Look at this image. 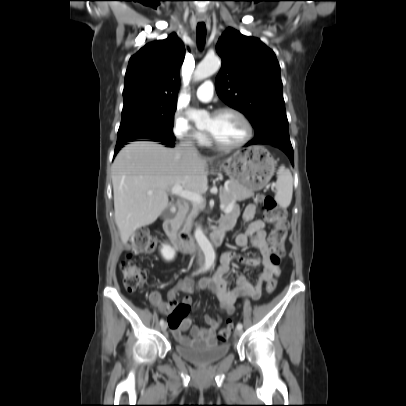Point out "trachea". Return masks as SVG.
Returning <instances> with one entry per match:
<instances>
[{
    "label": "trachea",
    "mask_w": 406,
    "mask_h": 406,
    "mask_svg": "<svg viewBox=\"0 0 406 406\" xmlns=\"http://www.w3.org/2000/svg\"><path fill=\"white\" fill-rule=\"evenodd\" d=\"M206 40V26L204 22L197 25V44L199 48H203Z\"/></svg>",
    "instance_id": "3493384b"
}]
</instances>
